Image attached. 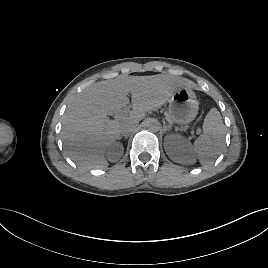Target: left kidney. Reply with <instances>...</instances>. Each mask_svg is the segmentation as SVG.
<instances>
[{"instance_id": "1", "label": "left kidney", "mask_w": 268, "mask_h": 268, "mask_svg": "<svg viewBox=\"0 0 268 268\" xmlns=\"http://www.w3.org/2000/svg\"><path fill=\"white\" fill-rule=\"evenodd\" d=\"M165 151L170 159L181 164H193L196 156L191 143L179 135L165 137Z\"/></svg>"}]
</instances>
